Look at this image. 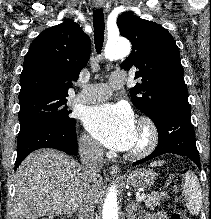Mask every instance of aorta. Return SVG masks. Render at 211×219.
I'll use <instances>...</instances> for the list:
<instances>
[{"instance_id": "obj_1", "label": "aorta", "mask_w": 211, "mask_h": 219, "mask_svg": "<svg viewBox=\"0 0 211 219\" xmlns=\"http://www.w3.org/2000/svg\"><path fill=\"white\" fill-rule=\"evenodd\" d=\"M130 51V43L125 39L118 38L107 43L105 57L113 60L129 55ZM102 219H118L117 191L115 185H112L109 188V192L103 205Z\"/></svg>"}]
</instances>
